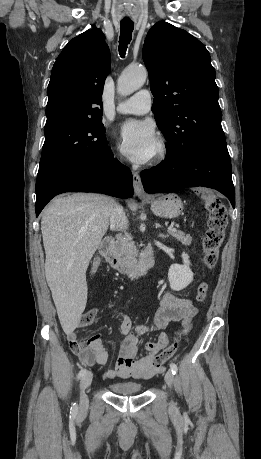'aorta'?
Wrapping results in <instances>:
<instances>
[{"mask_svg":"<svg viewBox=\"0 0 261 459\" xmlns=\"http://www.w3.org/2000/svg\"><path fill=\"white\" fill-rule=\"evenodd\" d=\"M147 79V70L144 67L126 68L117 82V91L121 96H128L140 89Z\"/></svg>","mask_w":261,"mask_h":459,"instance_id":"obj_1","label":"aorta"}]
</instances>
